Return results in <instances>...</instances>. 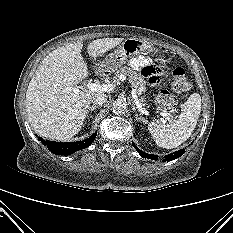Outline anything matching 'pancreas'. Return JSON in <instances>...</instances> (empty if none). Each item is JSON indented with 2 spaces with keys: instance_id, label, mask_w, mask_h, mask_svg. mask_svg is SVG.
<instances>
[{
  "instance_id": "1",
  "label": "pancreas",
  "mask_w": 233,
  "mask_h": 233,
  "mask_svg": "<svg viewBox=\"0 0 233 233\" xmlns=\"http://www.w3.org/2000/svg\"><path fill=\"white\" fill-rule=\"evenodd\" d=\"M121 75H127L129 81L132 84V87L138 88V91H145V80L141 74H138L136 71L131 68L124 66L116 70L114 74V79H118ZM141 101L144 102V98H141Z\"/></svg>"
}]
</instances>
